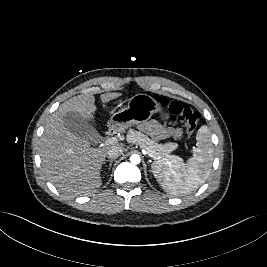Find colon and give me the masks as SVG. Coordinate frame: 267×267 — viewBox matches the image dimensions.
<instances>
[{
  "instance_id": "obj_1",
  "label": "colon",
  "mask_w": 267,
  "mask_h": 267,
  "mask_svg": "<svg viewBox=\"0 0 267 267\" xmlns=\"http://www.w3.org/2000/svg\"><path fill=\"white\" fill-rule=\"evenodd\" d=\"M168 110L181 122L188 136H192L199 122V113L182 101L171 100L167 104Z\"/></svg>"
}]
</instances>
